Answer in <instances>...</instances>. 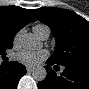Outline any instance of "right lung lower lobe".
I'll list each match as a JSON object with an SVG mask.
<instances>
[{
    "label": "right lung lower lobe",
    "instance_id": "1",
    "mask_svg": "<svg viewBox=\"0 0 89 89\" xmlns=\"http://www.w3.org/2000/svg\"><path fill=\"white\" fill-rule=\"evenodd\" d=\"M26 73L22 64L12 61L5 69L0 70V88L15 89L19 79Z\"/></svg>",
    "mask_w": 89,
    "mask_h": 89
}]
</instances>
